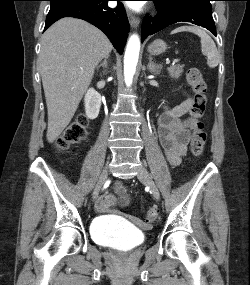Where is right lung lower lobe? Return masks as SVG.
I'll return each mask as SVG.
<instances>
[{
	"mask_svg": "<svg viewBox=\"0 0 250 285\" xmlns=\"http://www.w3.org/2000/svg\"><path fill=\"white\" fill-rule=\"evenodd\" d=\"M108 1L90 0L50 9L44 30L62 17L80 18L98 27L108 36L118 53L122 54L129 32V22L123 6L119 3L112 9L108 7Z\"/></svg>",
	"mask_w": 250,
	"mask_h": 285,
	"instance_id": "obj_1",
	"label": "right lung lower lobe"
}]
</instances>
